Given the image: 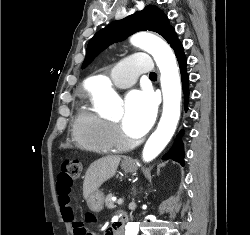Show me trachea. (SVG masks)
Returning a JSON list of instances; mask_svg holds the SVG:
<instances>
[{
    "instance_id": "obj_1",
    "label": "trachea",
    "mask_w": 250,
    "mask_h": 235,
    "mask_svg": "<svg viewBox=\"0 0 250 235\" xmlns=\"http://www.w3.org/2000/svg\"><path fill=\"white\" fill-rule=\"evenodd\" d=\"M149 77H157V74L155 72H151Z\"/></svg>"
}]
</instances>
